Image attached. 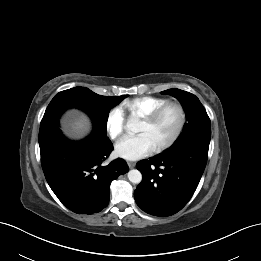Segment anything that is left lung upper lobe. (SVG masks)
Wrapping results in <instances>:
<instances>
[{"mask_svg":"<svg viewBox=\"0 0 261 261\" xmlns=\"http://www.w3.org/2000/svg\"><path fill=\"white\" fill-rule=\"evenodd\" d=\"M161 93L176 97L181 102L188 120L184 124L183 132L171 147L192 141L210 143L211 123L199 99L194 94L180 89H168Z\"/></svg>","mask_w":261,"mask_h":261,"instance_id":"obj_1","label":"left lung upper lobe"}]
</instances>
